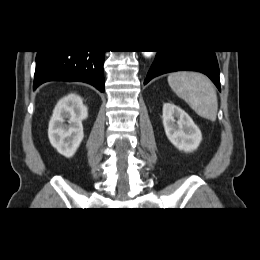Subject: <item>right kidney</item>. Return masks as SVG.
I'll use <instances>...</instances> for the list:
<instances>
[{
  "mask_svg": "<svg viewBox=\"0 0 260 260\" xmlns=\"http://www.w3.org/2000/svg\"><path fill=\"white\" fill-rule=\"evenodd\" d=\"M87 117L80 96L71 93L59 100L49 122L48 137L61 155L70 158L75 154L84 137L82 121Z\"/></svg>",
  "mask_w": 260,
  "mask_h": 260,
  "instance_id": "ca27d5eb",
  "label": "right kidney"
}]
</instances>
